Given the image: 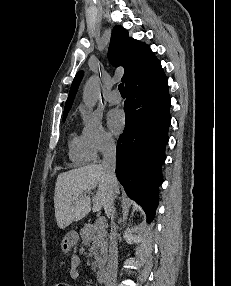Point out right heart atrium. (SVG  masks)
Here are the masks:
<instances>
[{"instance_id":"1","label":"right heart atrium","mask_w":231,"mask_h":286,"mask_svg":"<svg viewBox=\"0 0 231 286\" xmlns=\"http://www.w3.org/2000/svg\"><path fill=\"white\" fill-rule=\"evenodd\" d=\"M83 129L82 136L95 155L112 150L115 140L104 128L101 116L93 111L82 109L80 111Z\"/></svg>"}]
</instances>
